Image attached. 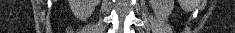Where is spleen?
Wrapping results in <instances>:
<instances>
[{
  "instance_id": "obj_1",
  "label": "spleen",
  "mask_w": 235,
  "mask_h": 33,
  "mask_svg": "<svg viewBox=\"0 0 235 33\" xmlns=\"http://www.w3.org/2000/svg\"><path fill=\"white\" fill-rule=\"evenodd\" d=\"M184 7L186 8V9H191V6L188 4V5H184Z\"/></svg>"
}]
</instances>
